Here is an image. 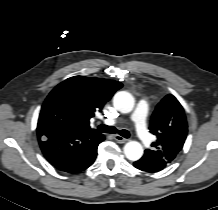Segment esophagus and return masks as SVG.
Returning a JSON list of instances; mask_svg holds the SVG:
<instances>
[{"label": "esophagus", "instance_id": "34e87169", "mask_svg": "<svg viewBox=\"0 0 218 210\" xmlns=\"http://www.w3.org/2000/svg\"><path fill=\"white\" fill-rule=\"evenodd\" d=\"M114 139L117 141V142H120V143H125L128 141V139L122 137L121 135H114Z\"/></svg>", "mask_w": 218, "mask_h": 210}]
</instances>
